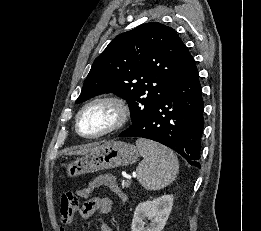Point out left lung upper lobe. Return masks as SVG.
<instances>
[{
  "label": "left lung upper lobe",
  "mask_w": 261,
  "mask_h": 231,
  "mask_svg": "<svg viewBox=\"0 0 261 231\" xmlns=\"http://www.w3.org/2000/svg\"><path fill=\"white\" fill-rule=\"evenodd\" d=\"M196 64L174 29L142 24L115 37L98 56L76 103L114 93L129 105L132 123L145 118Z\"/></svg>",
  "instance_id": "5c2ea615"
}]
</instances>
